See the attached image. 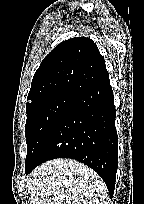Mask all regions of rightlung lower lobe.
I'll list each match as a JSON object with an SVG mask.
<instances>
[{
	"label": "right lung lower lobe",
	"mask_w": 144,
	"mask_h": 204,
	"mask_svg": "<svg viewBox=\"0 0 144 204\" xmlns=\"http://www.w3.org/2000/svg\"><path fill=\"white\" fill-rule=\"evenodd\" d=\"M115 118L108 78L74 97L25 173L51 159H75L100 175L112 197L118 167Z\"/></svg>",
	"instance_id": "obj_1"
}]
</instances>
